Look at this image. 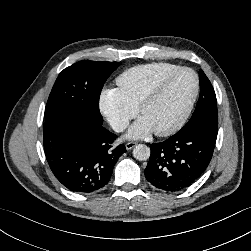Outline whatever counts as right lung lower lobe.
<instances>
[{
	"label": "right lung lower lobe",
	"mask_w": 251,
	"mask_h": 251,
	"mask_svg": "<svg viewBox=\"0 0 251 251\" xmlns=\"http://www.w3.org/2000/svg\"><path fill=\"white\" fill-rule=\"evenodd\" d=\"M44 151L55 177L67 189L93 193L110 180L125 146L114 147L116 135L82 114L45 119Z\"/></svg>",
	"instance_id": "98d812e1"
}]
</instances>
